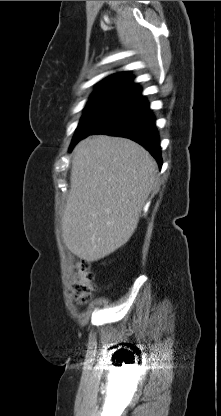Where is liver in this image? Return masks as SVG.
<instances>
[{"label": "liver", "instance_id": "1", "mask_svg": "<svg viewBox=\"0 0 221 416\" xmlns=\"http://www.w3.org/2000/svg\"><path fill=\"white\" fill-rule=\"evenodd\" d=\"M156 180V161L136 142L107 135L81 140L61 220L67 248L94 262L127 243Z\"/></svg>", "mask_w": 221, "mask_h": 416}]
</instances>
